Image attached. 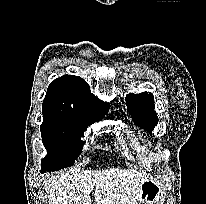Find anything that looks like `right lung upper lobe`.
<instances>
[{"label": "right lung upper lobe", "instance_id": "1", "mask_svg": "<svg viewBox=\"0 0 206 204\" xmlns=\"http://www.w3.org/2000/svg\"><path fill=\"white\" fill-rule=\"evenodd\" d=\"M42 109L61 110L100 119L109 105L90 91V86L78 76L64 75L48 87Z\"/></svg>", "mask_w": 206, "mask_h": 204}]
</instances>
